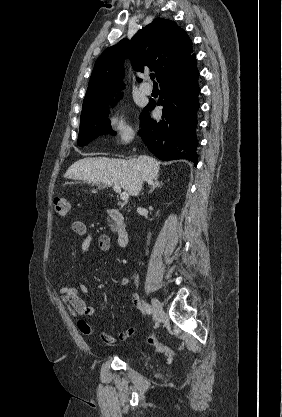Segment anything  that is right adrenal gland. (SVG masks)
Instances as JSON below:
<instances>
[{
    "label": "right adrenal gland",
    "mask_w": 282,
    "mask_h": 417,
    "mask_svg": "<svg viewBox=\"0 0 282 417\" xmlns=\"http://www.w3.org/2000/svg\"><path fill=\"white\" fill-rule=\"evenodd\" d=\"M148 184H151L149 192H153L155 188H158V186H161V184H164V182H162V180H159V176H156V178H154V180H151V182H148Z\"/></svg>",
    "instance_id": "1"
}]
</instances>
